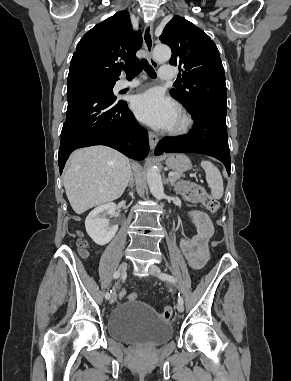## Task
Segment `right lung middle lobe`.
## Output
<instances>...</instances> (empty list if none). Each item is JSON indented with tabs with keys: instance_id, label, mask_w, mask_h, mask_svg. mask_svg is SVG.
I'll return each mask as SVG.
<instances>
[{
	"instance_id": "right-lung-middle-lobe-1",
	"label": "right lung middle lobe",
	"mask_w": 291,
	"mask_h": 381,
	"mask_svg": "<svg viewBox=\"0 0 291 381\" xmlns=\"http://www.w3.org/2000/svg\"><path fill=\"white\" fill-rule=\"evenodd\" d=\"M96 82L99 84V86L101 88H103L105 90V92L108 94V96L115 98L113 95V91H112L115 83H104V82H98V81H96Z\"/></svg>"
}]
</instances>
